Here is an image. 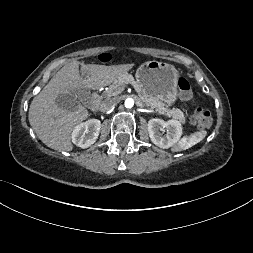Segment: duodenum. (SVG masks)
I'll use <instances>...</instances> for the list:
<instances>
[{"instance_id":"duodenum-1","label":"duodenum","mask_w":253,"mask_h":253,"mask_svg":"<svg viewBox=\"0 0 253 253\" xmlns=\"http://www.w3.org/2000/svg\"><path fill=\"white\" fill-rule=\"evenodd\" d=\"M100 105V96L98 93H93L92 98H91V102H90V108L95 110L99 107Z\"/></svg>"}]
</instances>
